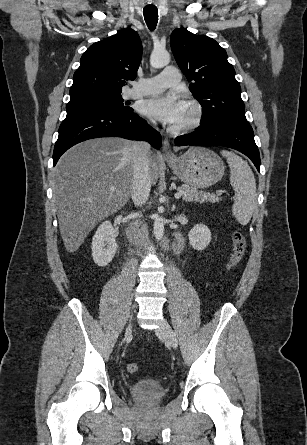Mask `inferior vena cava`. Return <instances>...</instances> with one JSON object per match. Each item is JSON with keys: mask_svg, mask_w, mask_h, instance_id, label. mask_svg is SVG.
<instances>
[{"mask_svg": "<svg viewBox=\"0 0 307 445\" xmlns=\"http://www.w3.org/2000/svg\"><path fill=\"white\" fill-rule=\"evenodd\" d=\"M133 152V178H132V200L135 206H141L148 200L151 188V176L149 170L148 142L134 140L130 146Z\"/></svg>", "mask_w": 307, "mask_h": 445, "instance_id": "1", "label": "inferior vena cava"}]
</instances>
